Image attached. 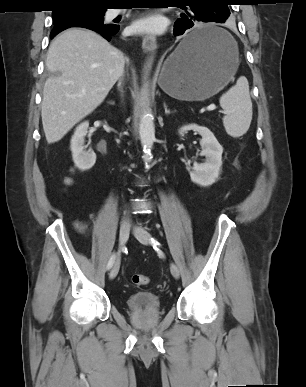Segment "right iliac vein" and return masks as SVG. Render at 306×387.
I'll return each mask as SVG.
<instances>
[{"label":"right iliac vein","mask_w":306,"mask_h":387,"mask_svg":"<svg viewBox=\"0 0 306 387\" xmlns=\"http://www.w3.org/2000/svg\"><path fill=\"white\" fill-rule=\"evenodd\" d=\"M129 233H130V224H128V223L121 224L120 230H119V241H120L121 248L127 242L128 238H129ZM119 268H120V256L118 255V257L114 261L113 267L109 273L110 279H114L117 276V274L119 272Z\"/></svg>","instance_id":"1"}]
</instances>
